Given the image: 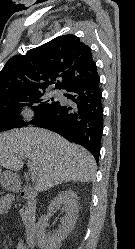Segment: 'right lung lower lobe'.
<instances>
[{
	"label": "right lung lower lobe",
	"mask_w": 135,
	"mask_h": 249,
	"mask_svg": "<svg viewBox=\"0 0 135 249\" xmlns=\"http://www.w3.org/2000/svg\"><path fill=\"white\" fill-rule=\"evenodd\" d=\"M68 105L57 103L35 117L31 124L52 130L85 147L99 160L103 134V106L99 75L87 82H78L67 89Z\"/></svg>",
	"instance_id": "1"
}]
</instances>
